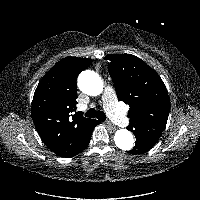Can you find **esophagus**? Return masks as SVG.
<instances>
[{
  "label": "esophagus",
  "mask_w": 200,
  "mask_h": 200,
  "mask_svg": "<svg viewBox=\"0 0 200 200\" xmlns=\"http://www.w3.org/2000/svg\"><path fill=\"white\" fill-rule=\"evenodd\" d=\"M107 125L113 130H115V128H116L115 125L112 124L110 121H107Z\"/></svg>",
  "instance_id": "esophagus-1"
}]
</instances>
